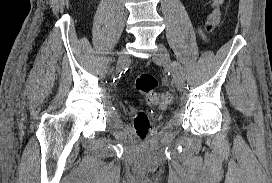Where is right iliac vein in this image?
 Masks as SVG:
<instances>
[{
  "label": "right iliac vein",
  "mask_w": 272,
  "mask_h": 183,
  "mask_svg": "<svg viewBox=\"0 0 272 183\" xmlns=\"http://www.w3.org/2000/svg\"><path fill=\"white\" fill-rule=\"evenodd\" d=\"M127 61H128V55L126 54L125 51H122L118 59L117 70L119 71L121 68H123L125 64L127 63Z\"/></svg>",
  "instance_id": "obj_1"
}]
</instances>
